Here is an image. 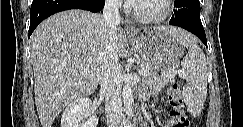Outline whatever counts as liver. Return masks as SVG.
Instances as JSON below:
<instances>
[{"instance_id": "6515ba94", "label": "liver", "mask_w": 243, "mask_h": 127, "mask_svg": "<svg viewBox=\"0 0 243 127\" xmlns=\"http://www.w3.org/2000/svg\"><path fill=\"white\" fill-rule=\"evenodd\" d=\"M163 28L174 35H189L178 28ZM108 32L100 14L78 9L54 14L35 29L30 49L42 127H51L65 106L97 89ZM113 39L119 54L126 40L120 28Z\"/></svg>"}]
</instances>
